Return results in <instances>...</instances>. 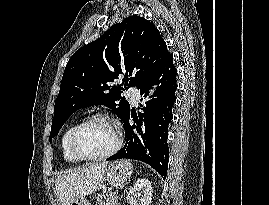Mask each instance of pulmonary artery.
<instances>
[{
	"instance_id": "obj_1",
	"label": "pulmonary artery",
	"mask_w": 269,
	"mask_h": 205,
	"mask_svg": "<svg viewBox=\"0 0 269 205\" xmlns=\"http://www.w3.org/2000/svg\"><path fill=\"white\" fill-rule=\"evenodd\" d=\"M129 94L132 97L134 103H137L138 99L140 98V93L137 89H130Z\"/></svg>"
}]
</instances>
